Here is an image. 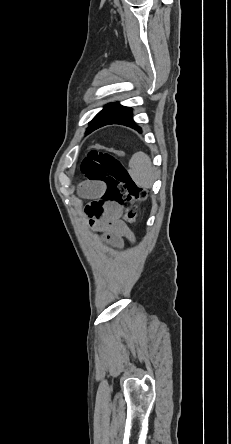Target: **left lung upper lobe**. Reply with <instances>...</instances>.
<instances>
[{"label": "left lung upper lobe", "mask_w": 231, "mask_h": 444, "mask_svg": "<svg viewBox=\"0 0 231 444\" xmlns=\"http://www.w3.org/2000/svg\"><path fill=\"white\" fill-rule=\"evenodd\" d=\"M123 109V106H121L118 103H111L104 107L102 111H100L90 122L89 128L94 125L95 123H98L104 119L111 118L115 115H117L121 110ZM88 128V129H89ZM87 129V130H88ZM87 133V132H86Z\"/></svg>", "instance_id": "5c2ea615"}]
</instances>
